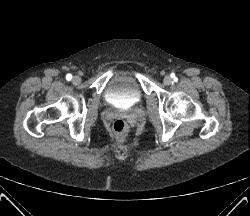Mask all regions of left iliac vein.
Listing matches in <instances>:
<instances>
[{"mask_svg": "<svg viewBox=\"0 0 250 216\" xmlns=\"http://www.w3.org/2000/svg\"><path fill=\"white\" fill-rule=\"evenodd\" d=\"M163 82L165 85H170L172 83V78L170 76H165Z\"/></svg>", "mask_w": 250, "mask_h": 216, "instance_id": "obj_1", "label": "left iliac vein"}]
</instances>
